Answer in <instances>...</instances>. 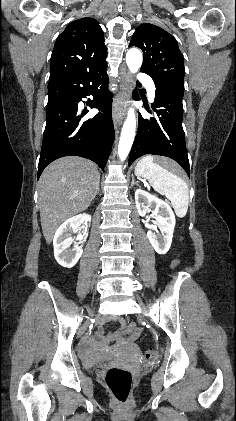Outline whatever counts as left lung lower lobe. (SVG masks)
Segmentation results:
<instances>
[{"label": "left lung lower lobe", "mask_w": 236, "mask_h": 421, "mask_svg": "<svg viewBox=\"0 0 236 421\" xmlns=\"http://www.w3.org/2000/svg\"><path fill=\"white\" fill-rule=\"evenodd\" d=\"M152 104L155 117H138V132L133 143L129 166L145 154L161 155L177 161L190 177L183 120V91L173 85L155 83Z\"/></svg>", "instance_id": "0a47b994"}]
</instances>
